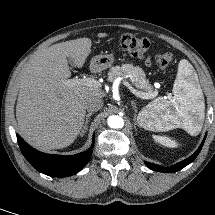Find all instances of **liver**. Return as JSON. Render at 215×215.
Returning <instances> with one entry per match:
<instances>
[{
    "label": "liver",
    "instance_id": "6515ba94",
    "mask_svg": "<svg viewBox=\"0 0 215 215\" xmlns=\"http://www.w3.org/2000/svg\"><path fill=\"white\" fill-rule=\"evenodd\" d=\"M98 33L97 37H106ZM89 38L54 44L37 51L22 69L16 118L20 135L41 149H61L77 138L84 126L88 97L102 98L100 88L67 86V58L78 68L91 53Z\"/></svg>",
    "mask_w": 215,
    "mask_h": 215
}]
</instances>
